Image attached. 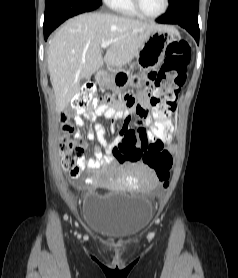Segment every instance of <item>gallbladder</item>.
<instances>
[{
	"label": "gallbladder",
	"mask_w": 238,
	"mask_h": 278,
	"mask_svg": "<svg viewBox=\"0 0 238 278\" xmlns=\"http://www.w3.org/2000/svg\"><path fill=\"white\" fill-rule=\"evenodd\" d=\"M83 82H85V79H83V80L81 81V83H83Z\"/></svg>",
	"instance_id": "obj_1"
}]
</instances>
